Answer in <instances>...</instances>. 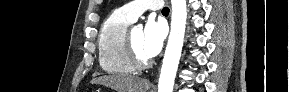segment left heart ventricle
<instances>
[{
    "instance_id": "left-heart-ventricle-1",
    "label": "left heart ventricle",
    "mask_w": 289,
    "mask_h": 92,
    "mask_svg": "<svg viewBox=\"0 0 289 92\" xmlns=\"http://www.w3.org/2000/svg\"><path fill=\"white\" fill-rule=\"evenodd\" d=\"M131 38L137 54L142 59H149L150 57L145 53L143 47V30L140 28L132 29Z\"/></svg>"
}]
</instances>
